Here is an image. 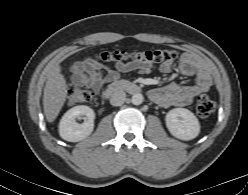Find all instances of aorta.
Here are the masks:
<instances>
[{"label":"aorta","mask_w":248,"mask_h":195,"mask_svg":"<svg viewBox=\"0 0 248 195\" xmlns=\"http://www.w3.org/2000/svg\"><path fill=\"white\" fill-rule=\"evenodd\" d=\"M143 100H144L143 95L140 94V93L134 94L132 96V98H131V102L134 105H140V104H142Z\"/></svg>","instance_id":"aorta-1"}]
</instances>
